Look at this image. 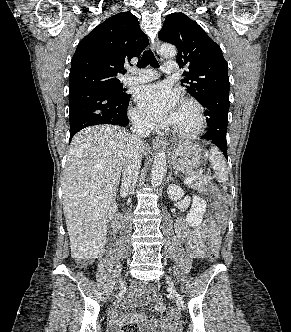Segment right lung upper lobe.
Segmentation results:
<instances>
[{"label": "right lung upper lobe", "mask_w": 291, "mask_h": 332, "mask_svg": "<svg viewBox=\"0 0 291 332\" xmlns=\"http://www.w3.org/2000/svg\"><path fill=\"white\" fill-rule=\"evenodd\" d=\"M148 37L130 12L118 13L98 25L78 44L69 74V92L97 81L120 82L124 63L139 56Z\"/></svg>", "instance_id": "cb5924a9"}]
</instances>
